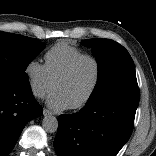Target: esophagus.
<instances>
[{"instance_id": "esophagus-1", "label": "esophagus", "mask_w": 156, "mask_h": 156, "mask_svg": "<svg viewBox=\"0 0 156 156\" xmlns=\"http://www.w3.org/2000/svg\"><path fill=\"white\" fill-rule=\"evenodd\" d=\"M43 115H44V116L52 115V112L49 111L48 109H44V110H43Z\"/></svg>"}]
</instances>
